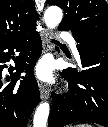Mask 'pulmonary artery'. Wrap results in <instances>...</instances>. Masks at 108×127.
Segmentation results:
<instances>
[{
  "instance_id": "1",
  "label": "pulmonary artery",
  "mask_w": 108,
  "mask_h": 127,
  "mask_svg": "<svg viewBox=\"0 0 108 127\" xmlns=\"http://www.w3.org/2000/svg\"><path fill=\"white\" fill-rule=\"evenodd\" d=\"M61 37L68 42V44H69L70 48L72 49L73 53L75 54V56L77 58H79V53L77 51L76 41H75L74 37L71 34L65 33V32L61 34Z\"/></svg>"
}]
</instances>
